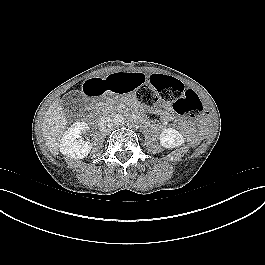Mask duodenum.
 <instances>
[{"label":"duodenum","instance_id":"duodenum-1","mask_svg":"<svg viewBox=\"0 0 265 265\" xmlns=\"http://www.w3.org/2000/svg\"><path fill=\"white\" fill-rule=\"evenodd\" d=\"M134 120L137 122H141V120L138 117H135Z\"/></svg>","mask_w":265,"mask_h":265}]
</instances>
